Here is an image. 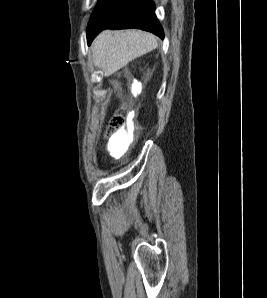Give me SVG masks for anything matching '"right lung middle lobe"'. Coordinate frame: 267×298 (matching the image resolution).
Returning a JSON list of instances; mask_svg holds the SVG:
<instances>
[{
    "label": "right lung middle lobe",
    "instance_id": "dd1d6c3e",
    "mask_svg": "<svg viewBox=\"0 0 267 298\" xmlns=\"http://www.w3.org/2000/svg\"><path fill=\"white\" fill-rule=\"evenodd\" d=\"M108 1L109 0H99L91 15L90 22H92L98 16V14L101 12Z\"/></svg>",
    "mask_w": 267,
    "mask_h": 298
}]
</instances>
